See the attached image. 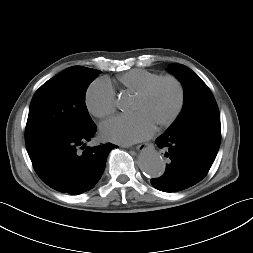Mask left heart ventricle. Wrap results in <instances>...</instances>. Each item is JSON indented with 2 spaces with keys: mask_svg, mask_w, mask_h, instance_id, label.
Segmentation results:
<instances>
[{
  "mask_svg": "<svg viewBox=\"0 0 253 253\" xmlns=\"http://www.w3.org/2000/svg\"><path fill=\"white\" fill-rule=\"evenodd\" d=\"M177 103V91L170 82L158 85L146 98L136 96L133 111L145 113L155 124L167 119Z\"/></svg>",
  "mask_w": 253,
  "mask_h": 253,
  "instance_id": "1",
  "label": "left heart ventricle"
}]
</instances>
